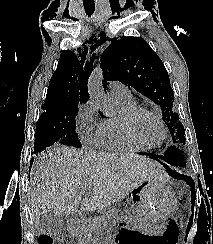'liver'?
<instances>
[{
	"mask_svg": "<svg viewBox=\"0 0 213 244\" xmlns=\"http://www.w3.org/2000/svg\"><path fill=\"white\" fill-rule=\"evenodd\" d=\"M152 178L164 177L161 166L147 157L57 145L43 155L33 173V223L37 227L40 217L49 212L68 217L80 203L84 211L101 209Z\"/></svg>",
	"mask_w": 213,
	"mask_h": 244,
	"instance_id": "1",
	"label": "liver"
}]
</instances>
